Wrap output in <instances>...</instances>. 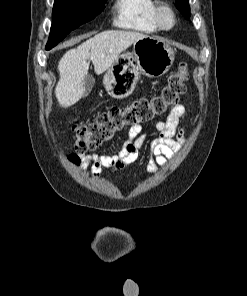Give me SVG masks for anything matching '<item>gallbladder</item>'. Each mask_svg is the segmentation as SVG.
Instances as JSON below:
<instances>
[{"mask_svg":"<svg viewBox=\"0 0 247 296\" xmlns=\"http://www.w3.org/2000/svg\"><path fill=\"white\" fill-rule=\"evenodd\" d=\"M93 83H94L93 77L90 75H86L85 82H84L85 90L83 93V97L88 96V94L91 92Z\"/></svg>","mask_w":247,"mask_h":296,"instance_id":"bac80fb5","label":"gallbladder"}]
</instances>
